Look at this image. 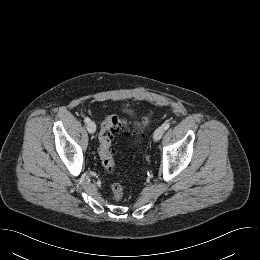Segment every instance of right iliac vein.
I'll return each instance as SVG.
<instances>
[{
	"label": "right iliac vein",
	"mask_w": 260,
	"mask_h": 260,
	"mask_svg": "<svg viewBox=\"0 0 260 260\" xmlns=\"http://www.w3.org/2000/svg\"><path fill=\"white\" fill-rule=\"evenodd\" d=\"M87 130H88V132L91 133V134L95 133V131H96V125H95V123H94L93 121H89V122L87 123Z\"/></svg>",
	"instance_id": "1"
}]
</instances>
